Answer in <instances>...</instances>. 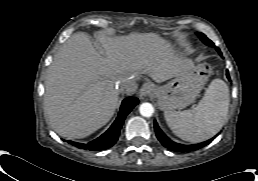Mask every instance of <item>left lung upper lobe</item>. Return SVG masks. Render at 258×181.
<instances>
[{
    "label": "left lung upper lobe",
    "instance_id": "obj_1",
    "mask_svg": "<svg viewBox=\"0 0 258 181\" xmlns=\"http://www.w3.org/2000/svg\"><path fill=\"white\" fill-rule=\"evenodd\" d=\"M197 35L206 45L214 47V43L211 40H209L203 33L198 32ZM216 50L221 54L219 48H216Z\"/></svg>",
    "mask_w": 258,
    "mask_h": 181
}]
</instances>
